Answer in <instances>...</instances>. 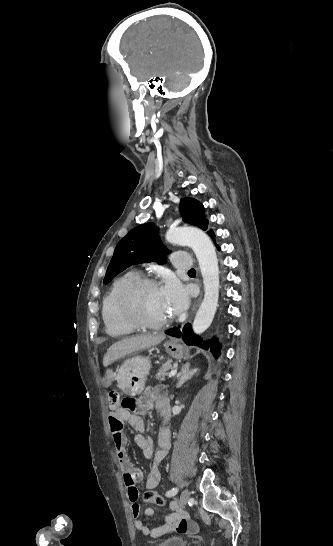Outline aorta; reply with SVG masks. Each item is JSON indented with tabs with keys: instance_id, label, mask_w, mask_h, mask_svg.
I'll return each mask as SVG.
<instances>
[{
	"instance_id": "762f6f07",
	"label": "aorta",
	"mask_w": 333,
	"mask_h": 546,
	"mask_svg": "<svg viewBox=\"0 0 333 546\" xmlns=\"http://www.w3.org/2000/svg\"><path fill=\"white\" fill-rule=\"evenodd\" d=\"M170 243L186 245L194 251L204 285V298L193 322V331L201 334L211 325L219 297V269L215 248L209 237L195 227L171 229L166 234Z\"/></svg>"
}]
</instances>
